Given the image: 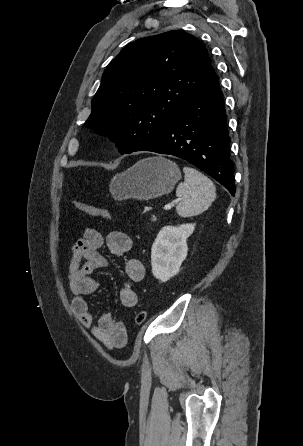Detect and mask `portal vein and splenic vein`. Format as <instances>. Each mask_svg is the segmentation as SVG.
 <instances>
[{
    "instance_id": "obj_1",
    "label": "portal vein and splenic vein",
    "mask_w": 303,
    "mask_h": 446,
    "mask_svg": "<svg viewBox=\"0 0 303 446\" xmlns=\"http://www.w3.org/2000/svg\"><path fill=\"white\" fill-rule=\"evenodd\" d=\"M176 202H179V199ZM172 207H173V204H167V205L164 206L163 209L164 210H170Z\"/></svg>"
}]
</instances>
